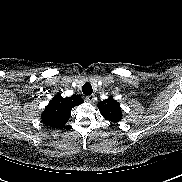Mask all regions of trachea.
<instances>
[{"mask_svg": "<svg viewBox=\"0 0 182 182\" xmlns=\"http://www.w3.org/2000/svg\"><path fill=\"white\" fill-rule=\"evenodd\" d=\"M82 92L85 95H91L93 92L92 86L90 83L86 82L83 86H82Z\"/></svg>", "mask_w": 182, "mask_h": 182, "instance_id": "3493384b", "label": "trachea"}]
</instances>
